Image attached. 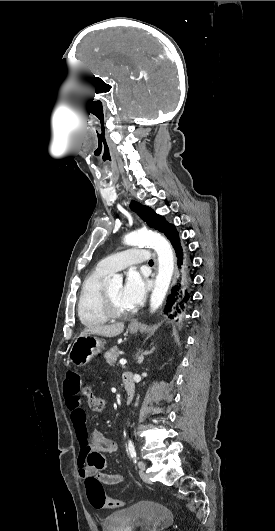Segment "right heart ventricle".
<instances>
[{
	"label": "right heart ventricle",
	"instance_id": "e07e8e85",
	"mask_svg": "<svg viewBox=\"0 0 275 531\" xmlns=\"http://www.w3.org/2000/svg\"><path fill=\"white\" fill-rule=\"evenodd\" d=\"M106 273L105 270L94 271L81 284L77 310L80 321L85 326H100L109 320L102 304V286Z\"/></svg>",
	"mask_w": 275,
	"mask_h": 531
}]
</instances>
